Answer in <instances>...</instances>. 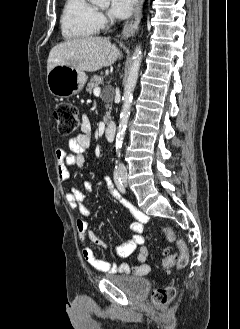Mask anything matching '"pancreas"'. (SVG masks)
I'll return each mask as SVG.
<instances>
[{"label": "pancreas", "instance_id": "pancreas-1", "mask_svg": "<svg viewBox=\"0 0 240 329\" xmlns=\"http://www.w3.org/2000/svg\"><path fill=\"white\" fill-rule=\"evenodd\" d=\"M100 84H102V77L101 76H98V75H94L90 79L89 83L87 84L86 91L89 92V93H92L93 89L96 88V87H98ZM101 98L105 102H109L110 101V98H108L106 94H102L101 95ZM109 118H110V113L109 112H106V114L104 116V121L107 122Z\"/></svg>", "mask_w": 240, "mask_h": 329}]
</instances>
